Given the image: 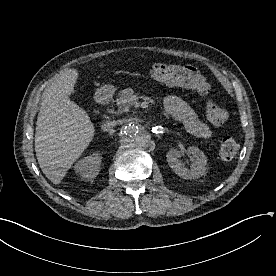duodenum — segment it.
<instances>
[{
  "label": "duodenum",
  "instance_id": "obj_1",
  "mask_svg": "<svg viewBox=\"0 0 276 276\" xmlns=\"http://www.w3.org/2000/svg\"><path fill=\"white\" fill-rule=\"evenodd\" d=\"M111 100V93L106 90L100 91L96 96V101L100 106H106Z\"/></svg>",
  "mask_w": 276,
  "mask_h": 276
}]
</instances>
